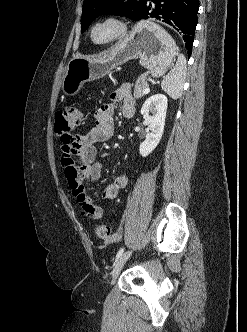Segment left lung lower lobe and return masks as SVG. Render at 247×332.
Returning a JSON list of instances; mask_svg holds the SVG:
<instances>
[{
	"mask_svg": "<svg viewBox=\"0 0 247 332\" xmlns=\"http://www.w3.org/2000/svg\"><path fill=\"white\" fill-rule=\"evenodd\" d=\"M199 0H147L140 19L156 18L181 33L190 56L194 41Z\"/></svg>",
	"mask_w": 247,
	"mask_h": 332,
	"instance_id": "left-lung-lower-lobe-1",
	"label": "left lung lower lobe"
}]
</instances>
